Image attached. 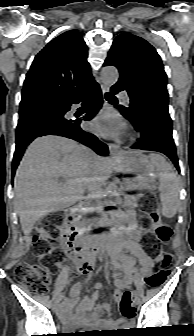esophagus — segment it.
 <instances>
[{"instance_id": "esophagus-1", "label": "esophagus", "mask_w": 194, "mask_h": 336, "mask_svg": "<svg viewBox=\"0 0 194 336\" xmlns=\"http://www.w3.org/2000/svg\"><path fill=\"white\" fill-rule=\"evenodd\" d=\"M101 90L104 95L105 93L109 91V87L105 85H101ZM109 152L112 157L123 154V150L120 148L118 144H115V143H109Z\"/></svg>"}]
</instances>
